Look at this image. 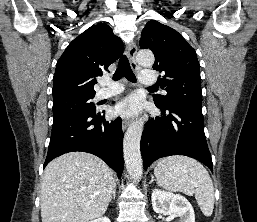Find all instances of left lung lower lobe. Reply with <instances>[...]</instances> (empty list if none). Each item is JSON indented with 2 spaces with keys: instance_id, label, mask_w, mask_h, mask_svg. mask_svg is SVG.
<instances>
[{
  "instance_id": "1",
  "label": "left lung lower lobe",
  "mask_w": 257,
  "mask_h": 222,
  "mask_svg": "<svg viewBox=\"0 0 257 222\" xmlns=\"http://www.w3.org/2000/svg\"><path fill=\"white\" fill-rule=\"evenodd\" d=\"M157 107L162 115L150 119L140 142L144 169L159 158L185 155L197 159L213 171L202 110L180 104H171L166 109Z\"/></svg>"
}]
</instances>
